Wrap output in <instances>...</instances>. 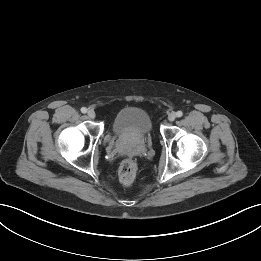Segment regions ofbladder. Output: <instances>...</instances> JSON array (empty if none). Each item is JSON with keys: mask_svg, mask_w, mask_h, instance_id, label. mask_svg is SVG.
I'll use <instances>...</instances> for the list:
<instances>
[{"mask_svg": "<svg viewBox=\"0 0 261 261\" xmlns=\"http://www.w3.org/2000/svg\"><path fill=\"white\" fill-rule=\"evenodd\" d=\"M151 116L142 108L125 107L113 118L112 132L121 137H143L151 133Z\"/></svg>", "mask_w": 261, "mask_h": 261, "instance_id": "1", "label": "bladder"}]
</instances>
